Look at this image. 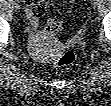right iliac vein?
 <instances>
[{"mask_svg": "<svg viewBox=\"0 0 111 106\" xmlns=\"http://www.w3.org/2000/svg\"><path fill=\"white\" fill-rule=\"evenodd\" d=\"M12 8L14 11L18 12L20 10V5L18 3H13Z\"/></svg>", "mask_w": 111, "mask_h": 106, "instance_id": "obj_1", "label": "right iliac vein"}]
</instances>
